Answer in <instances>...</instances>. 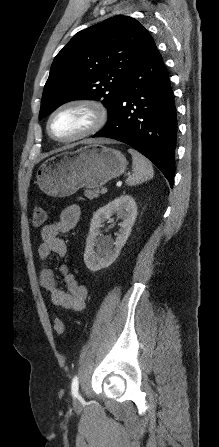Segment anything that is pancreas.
Wrapping results in <instances>:
<instances>
[{
	"label": "pancreas",
	"instance_id": "pancreas-1",
	"mask_svg": "<svg viewBox=\"0 0 219 447\" xmlns=\"http://www.w3.org/2000/svg\"><path fill=\"white\" fill-rule=\"evenodd\" d=\"M101 191L99 189V187L97 188H91V189H86L84 191V195L88 198V199H93V198H97L99 197Z\"/></svg>",
	"mask_w": 219,
	"mask_h": 447
}]
</instances>
